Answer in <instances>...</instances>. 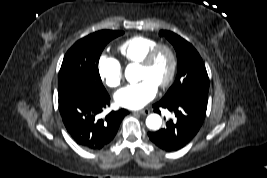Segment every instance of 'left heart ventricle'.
<instances>
[{"mask_svg": "<svg viewBox=\"0 0 267 178\" xmlns=\"http://www.w3.org/2000/svg\"><path fill=\"white\" fill-rule=\"evenodd\" d=\"M170 69V57L167 52H160L148 68L140 67L139 80L149 79L157 86L165 80Z\"/></svg>", "mask_w": 267, "mask_h": 178, "instance_id": "obj_1", "label": "left heart ventricle"}]
</instances>
